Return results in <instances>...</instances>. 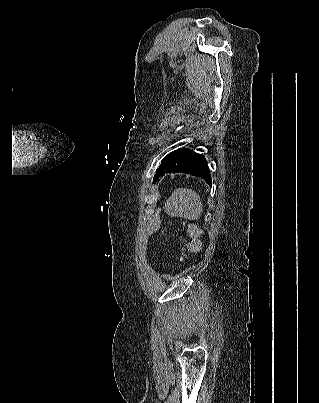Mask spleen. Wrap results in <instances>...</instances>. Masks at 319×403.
Returning <instances> with one entry per match:
<instances>
[{"mask_svg":"<svg viewBox=\"0 0 319 403\" xmlns=\"http://www.w3.org/2000/svg\"><path fill=\"white\" fill-rule=\"evenodd\" d=\"M167 214L173 217H183L197 220L203 212V204L199 194L188 188L174 190L165 205Z\"/></svg>","mask_w":319,"mask_h":403,"instance_id":"3e777b00","label":"spleen"}]
</instances>
